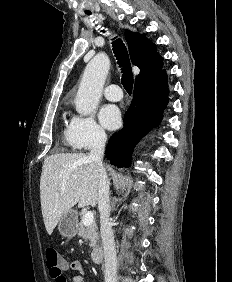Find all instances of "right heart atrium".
Returning a JSON list of instances; mask_svg holds the SVG:
<instances>
[{
	"instance_id": "obj_1",
	"label": "right heart atrium",
	"mask_w": 232,
	"mask_h": 282,
	"mask_svg": "<svg viewBox=\"0 0 232 282\" xmlns=\"http://www.w3.org/2000/svg\"><path fill=\"white\" fill-rule=\"evenodd\" d=\"M72 146L86 150L103 144L106 134L92 116H74L69 124Z\"/></svg>"
}]
</instances>
